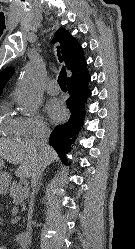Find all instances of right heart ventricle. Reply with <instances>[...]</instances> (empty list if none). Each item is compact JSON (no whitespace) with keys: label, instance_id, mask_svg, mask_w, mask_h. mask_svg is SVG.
Wrapping results in <instances>:
<instances>
[{"label":"right heart ventricle","instance_id":"right-heart-ventricle-1","mask_svg":"<svg viewBox=\"0 0 135 249\" xmlns=\"http://www.w3.org/2000/svg\"><path fill=\"white\" fill-rule=\"evenodd\" d=\"M0 132L6 137L19 135L15 119L10 115L8 105L4 104L0 115Z\"/></svg>","mask_w":135,"mask_h":249}]
</instances>
